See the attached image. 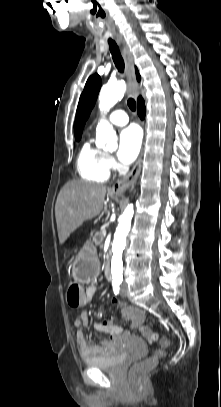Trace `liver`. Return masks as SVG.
<instances>
[{
  "label": "liver",
  "mask_w": 221,
  "mask_h": 407,
  "mask_svg": "<svg viewBox=\"0 0 221 407\" xmlns=\"http://www.w3.org/2000/svg\"><path fill=\"white\" fill-rule=\"evenodd\" d=\"M107 187L84 181H71L63 186L55 204V217L60 244L83 224L100 214Z\"/></svg>",
  "instance_id": "obj_1"
}]
</instances>
